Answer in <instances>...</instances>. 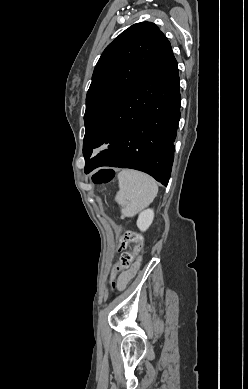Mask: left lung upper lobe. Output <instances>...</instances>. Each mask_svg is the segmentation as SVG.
Instances as JSON below:
<instances>
[{
  "label": "left lung upper lobe",
  "mask_w": 248,
  "mask_h": 389,
  "mask_svg": "<svg viewBox=\"0 0 248 389\" xmlns=\"http://www.w3.org/2000/svg\"><path fill=\"white\" fill-rule=\"evenodd\" d=\"M169 47L168 39L151 22L130 26L106 47L86 96L85 162L92 157L94 148L111 139L101 137L103 118Z\"/></svg>",
  "instance_id": "left-lung-upper-lobe-1"
}]
</instances>
